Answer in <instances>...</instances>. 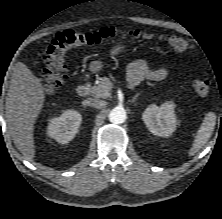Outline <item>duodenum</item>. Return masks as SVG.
I'll use <instances>...</instances> for the list:
<instances>
[{
	"label": "duodenum",
	"instance_id": "410a0bca",
	"mask_svg": "<svg viewBox=\"0 0 222 219\" xmlns=\"http://www.w3.org/2000/svg\"><path fill=\"white\" fill-rule=\"evenodd\" d=\"M90 92V84L88 80L82 81L77 87H76V94L80 97H85Z\"/></svg>",
	"mask_w": 222,
	"mask_h": 219
}]
</instances>
